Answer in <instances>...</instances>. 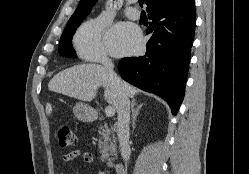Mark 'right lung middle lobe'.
Listing matches in <instances>:
<instances>
[{
  "label": "right lung middle lobe",
  "mask_w": 249,
  "mask_h": 174,
  "mask_svg": "<svg viewBox=\"0 0 249 174\" xmlns=\"http://www.w3.org/2000/svg\"><path fill=\"white\" fill-rule=\"evenodd\" d=\"M81 22L82 21L67 23L58 47L60 55L68 58H76L75 51L72 48L71 39Z\"/></svg>",
  "instance_id": "1"
}]
</instances>
